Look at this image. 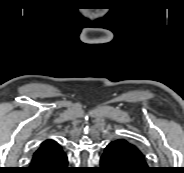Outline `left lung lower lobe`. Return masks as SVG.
Returning a JSON list of instances; mask_svg holds the SVG:
<instances>
[{
  "mask_svg": "<svg viewBox=\"0 0 184 173\" xmlns=\"http://www.w3.org/2000/svg\"><path fill=\"white\" fill-rule=\"evenodd\" d=\"M102 173H152L146 158L132 143L118 139L110 142L100 158Z\"/></svg>",
  "mask_w": 184,
  "mask_h": 173,
  "instance_id": "1",
  "label": "left lung lower lobe"
}]
</instances>
